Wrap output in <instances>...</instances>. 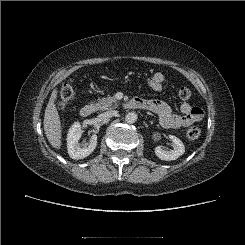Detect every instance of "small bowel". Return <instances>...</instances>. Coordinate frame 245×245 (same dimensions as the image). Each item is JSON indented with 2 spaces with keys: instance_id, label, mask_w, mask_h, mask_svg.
<instances>
[{
  "instance_id": "small-bowel-1",
  "label": "small bowel",
  "mask_w": 245,
  "mask_h": 245,
  "mask_svg": "<svg viewBox=\"0 0 245 245\" xmlns=\"http://www.w3.org/2000/svg\"><path fill=\"white\" fill-rule=\"evenodd\" d=\"M166 78L161 72L154 73L149 81V86L156 92H162ZM144 102L143 109L152 111L159 116L160 125L165 129H178L190 126L203 118L204 111L198 106L183 103L180 106L181 115L173 114L169 105L158 99H136Z\"/></svg>"
}]
</instances>
